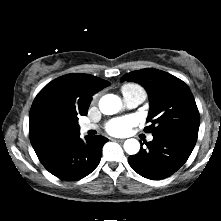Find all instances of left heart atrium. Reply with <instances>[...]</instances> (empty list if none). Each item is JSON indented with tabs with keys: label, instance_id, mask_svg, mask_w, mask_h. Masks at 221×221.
<instances>
[{
	"label": "left heart atrium",
	"instance_id": "obj_1",
	"mask_svg": "<svg viewBox=\"0 0 221 221\" xmlns=\"http://www.w3.org/2000/svg\"><path fill=\"white\" fill-rule=\"evenodd\" d=\"M136 123L134 117L127 116L121 117L111 120L107 126L106 130L108 133L115 135V136H123L126 135L131 127Z\"/></svg>",
	"mask_w": 221,
	"mask_h": 221
}]
</instances>
